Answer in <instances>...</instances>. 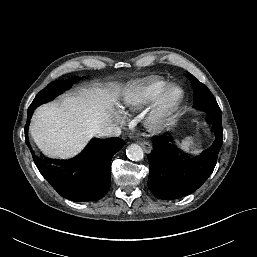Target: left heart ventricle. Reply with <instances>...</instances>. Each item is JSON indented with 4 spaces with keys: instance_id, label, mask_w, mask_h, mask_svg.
I'll return each mask as SVG.
<instances>
[{
    "instance_id": "b2bd125f",
    "label": "left heart ventricle",
    "mask_w": 257,
    "mask_h": 257,
    "mask_svg": "<svg viewBox=\"0 0 257 257\" xmlns=\"http://www.w3.org/2000/svg\"><path fill=\"white\" fill-rule=\"evenodd\" d=\"M176 95H177V93H176V92H173V93L171 94V98H175Z\"/></svg>"
}]
</instances>
